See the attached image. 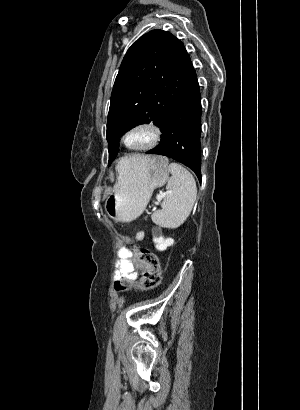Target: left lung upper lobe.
Listing matches in <instances>:
<instances>
[{"mask_svg":"<svg viewBox=\"0 0 300 410\" xmlns=\"http://www.w3.org/2000/svg\"><path fill=\"white\" fill-rule=\"evenodd\" d=\"M183 43L171 33L152 30L127 51L116 77L107 121L109 165L119 138L131 128L160 123L179 98L193 71Z\"/></svg>","mask_w":300,"mask_h":410,"instance_id":"left-lung-upper-lobe-1","label":"left lung upper lobe"}]
</instances>
